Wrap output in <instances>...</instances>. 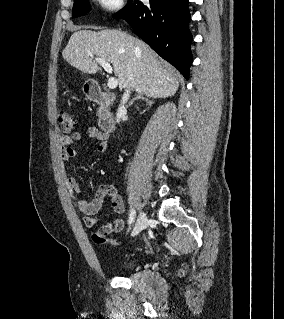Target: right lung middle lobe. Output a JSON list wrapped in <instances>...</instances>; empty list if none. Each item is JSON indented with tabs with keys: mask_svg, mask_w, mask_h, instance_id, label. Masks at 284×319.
Returning <instances> with one entry per match:
<instances>
[{
	"mask_svg": "<svg viewBox=\"0 0 284 319\" xmlns=\"http://www.w3.org/2000/svg\"><path fill=\"white\" fill-rule=\"evenodd\" d=\"M90 9L88 0H74L72 15L78 17L86 14Z\"/></svg>",
	"mask_w": 284,
	"mask_h": 319,
	"instance_id": "obj_1",
	"label": "right lung middle lobe"
}]
</instances>
